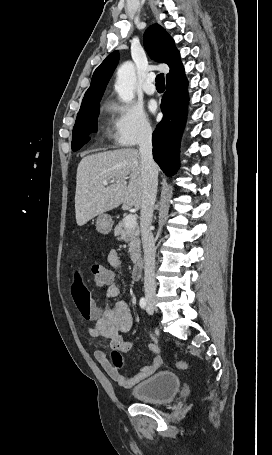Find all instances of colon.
Here are the masks:
<instances>
[{
	"instance_id": "colon-1",
	"label": "colon",
	"mask_w": 272,
	"mask_h": 455,
	"mask_svg": "<svg viewBox=\"0 0 272 455\" xmlns=\"http://www.w3.org/2000/svg\"><path fill=\"white\" fill-rule=\"evenodd\" d=\"M92 281L96 287H105L113 279L114 273L104 263H95L91 267ZM113 364L116 367L121 365V354L120 350L116 349L113 352ZM180 369H186L187 363L184 361L178 362Z\"/></svg>"
}]
</instances>
